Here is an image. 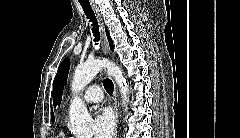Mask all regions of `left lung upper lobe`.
Masks as SVG:
<instances>
[{"label": "left lung upper lobe", "instance_id": "1", "mask_svg": "<svg viewBox=\"0 0 240 138\" xmlns=\"http://www.w3.org/2000/svg\"><path fill=\"white\" fill-rule=\"evenodd\" d=\"M107 38L109 41L110 49L113 51V42L110 38L108 30H106ZM70 68V60L64 59L57 71V74L55 76L54 82H53V104L54 107L59 106L62 100V93L64 85L67 81L68 72Z\"/></svg>", "mask_w": 240, "mask_h": 138}]
</instances>
